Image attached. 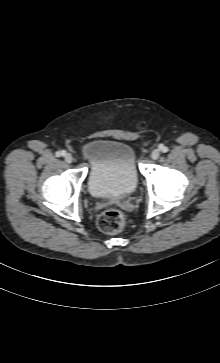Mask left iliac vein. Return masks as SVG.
<instances>
[{"label":"left iliac vein","mask_w":220,"mask_h":363,"mask_svg":"<svg viewBox=\"0 0 220 363\" xmlns=\"http://www.w3.org/2000/svg\"><path fill=\"white\" fill-rule=\"evenodd\" d=\"M160 156V151L158 149H154L152 152H151V158L153 160H156L158 159Z\"/></svg>","instance_id":"obj_1"}]
</instances>
